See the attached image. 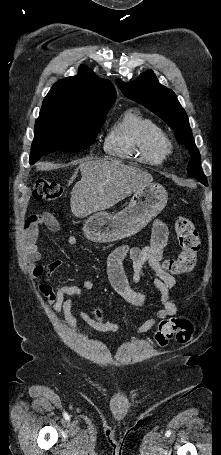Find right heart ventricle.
<instances>
[{"label":"right heart ventricle","instance_id":"1","mask_svg":"<svg viewBox=\"0 0 221 455\" xmlns=\"http://www.w3.org/2000/svg\"><path fill=\"white\" fill-rule=\"evenodd\" d=\"M104 149L109 155L152 165L162 163L167 151L158 125L135 109L126 110L113 124Z\"/></svg>","mask_w":221,"mask_h":455}]
</instances>
